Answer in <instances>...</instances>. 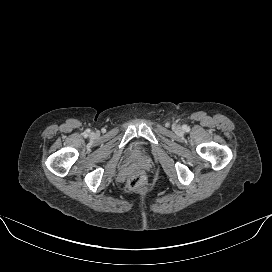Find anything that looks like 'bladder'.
<instances>
[{
    "label": "bladder",
    "instance_id": "obj_1",
    "mask_svg": "<svg viewBox=\"0 0 272 272\" xmlns=\"http://www.w3.org/2000/svg\"><path fill=\"white\" fill-rule=\"evenodd\" d=\"M129 157L132 159H142L148 156L149 150L146 146L139 142H134L128 151Z\"/></svg>",
    "mask_w": 272,
    "mask_h": 272
}]
</instances>
